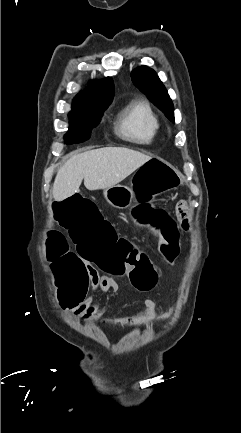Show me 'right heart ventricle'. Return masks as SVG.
I'll list each match as a JSON object with an SVG mask.
<instances>
[{
  "label": "right heart ventricle",
  "instance_id": "right-heart-ventricle-1",
  "mask_svg": "<svg viewBox=\"0 0 241 433\" xmlns=\"http://www.w3.org/2000/svg\"><path fill=\"white\" fill-rule=\"evenodd\" d=\"M160 124L150 104L144 100H133L119 113L117 132L125 140L141 145H150L156 139Z\"/></svg>",
  "mask_w": 241,
  "mask_h": 433
}]
</instances>
